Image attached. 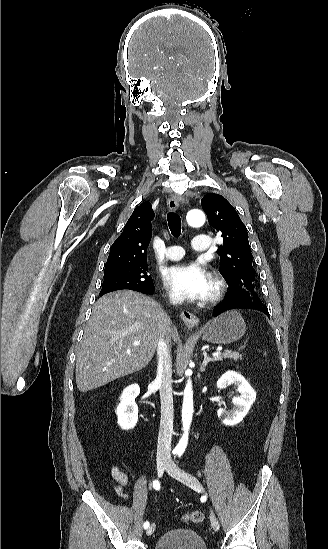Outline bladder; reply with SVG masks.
I'll use <instances>...</instances> for the list:
<instances>
[{
	"label": "bladder",
	"mask_w": 328,
	"mask_h": 549,
	"mask_svg": "<svg viewBox=\"0 0 328 549\" xmlns=\"http://www.w3.org/2000/svg\"><path fill=\"white\" fill-rule=\"evenodd\" d=\"M154 549H207L199 535L190 530L175 529L165 532Z\"/></svg>",
	"instance_id": "bladder-1"
}]
</instances>
